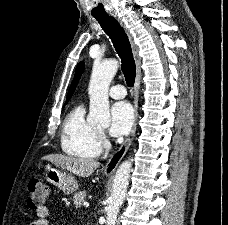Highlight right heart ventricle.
I'll return each mask as SVG.
<instances>
[{
	"label": "right heart ventricle",
	"mask_w": 228,
	"mask_h": 225,
	"mask_svg": "<svg viewBox=\"0 0 228 225\" xmlns=\"http://www.w3.org/2000/svg\"><path fill=\"white\" fill-rule=\"evenodd\" d=\"M61 150L68 156L87 159L96 158L101 154L99 130L86 120L82 104L75 105L65 117Z\"/></svg>",
	"instance_id": "e07e8e85"
}]
</instances>
